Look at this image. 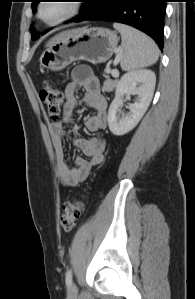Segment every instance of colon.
Listing matches in <instances>:
<instances>
[{
	"label": "colon",
	"mask_w": 195,
	"mask_h": 299,
	"mask_svg": "<svg viewBox=\"0 0 195 299\" xmlns=\"http://www.w3.org/2000/svg\"><path fill=\"white\" fill-rule=\"evenodd\" d=\"M39 97L44 104L49 118L53 121L59 119L61 106L64 99L62 90L49 82H44L39 90ZM84 211L81 199H70L63 205L61 227L64 232H71Z\"/></svg>",
	"instance_id": "1"
}]
</instances>
